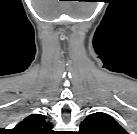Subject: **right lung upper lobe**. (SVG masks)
I'll list each match as a JSON object with an SVG mask.
<instances>
[{
  "label": "right lung upper lobe",
  "instance_id": "1",
  "mask_svg": "<svg viewBox=\"0 0 137 134\" xmlns=\"http://www.w3.org/2000/svg\"><path fill=\"white\" fill-rule=\"evenodd\" d=\"M41 114H32L15 126L17 134H53V125Z\"/></svg>",
  "mask_w": 137,
  "mask_h": 134
}]
</instances>
